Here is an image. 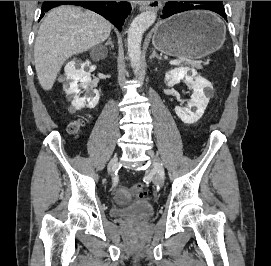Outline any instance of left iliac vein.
Wrapping results in <instances>:
<instances>
[{
    "mask_svg": "<svg viewBox=\"0 0 271 266\" xmlns=\"http://www.w3.org/2000/svg\"><path fill=\"white\" fill-rule=\"evenodd\" d=\"M147 154L150 156L152 162H153V170L152 172L155 174L154 177V182L158 185V186H163L164 183V177L162 175V171L163 167L162 164L160 163V161L158 160V158L156 157V155L154 154L153 151L149 150L147 152Z\"/></svg>",
    "mask_w": 271,
    "mask_h": 266,
    "instance_id": "1",
    "label": "left iliac vein"
}]
</instances>
